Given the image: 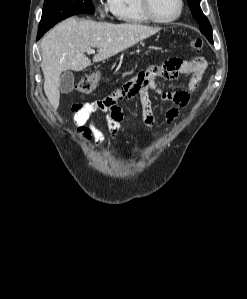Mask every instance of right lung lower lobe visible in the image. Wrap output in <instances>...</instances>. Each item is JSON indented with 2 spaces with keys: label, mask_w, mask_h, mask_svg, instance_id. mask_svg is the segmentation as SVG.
Wrapping results in <instances>:
<instances>
[{
  "label": "right lung lower lobe",
  "mask_w": 247,
  "mask_h": 299,
  "mask_svg": "<svg viewBox=\"0 0 247 299\" xmlns=\"http://www.w3.org/2000/svg\"><path fill=\"white\" fill-rule=\"evenodd\" d=\"M41 37H37V40L40 39Z\"/></svg>",
  "instance_id": "1"
}]
</instances>
